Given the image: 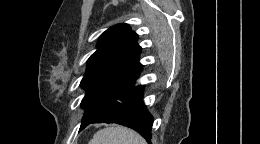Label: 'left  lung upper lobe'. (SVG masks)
I'll return each instance as SVG.
<instances>
[{"mask_svg":"<svg viewBox=\"0 0 260 144\" xmlns=\"http://www.w3.org/2000/svg\"><path fill=\"white\" fill-rule=\"evenodd\" d=\"M138 35L127 24H117L99 38L97 50L87 61L81 87L86 94L81 102L85 109L80 130L102 110L136 73L142 70L138 62L141 47Z\"/></svg>","mask_w":260,"mask_h":144,"instance_id":"5c2ea615","label":"left lung upper lobe"}]
</instances>
